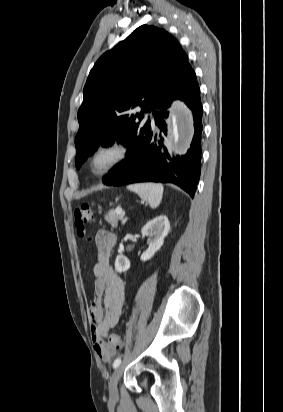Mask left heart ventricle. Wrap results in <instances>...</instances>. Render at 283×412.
<instances>
[{
  "label": "left heart ventricle",
  "instance_id": "b2bd125f",
  "mask_svg": "<svg viewBox=\"0 0 283 412\" xmlns=\"http://www.w3.org/2000/svg\"><path fill=\"white\" fill-rule=\"evenodd\" d=\"M112 156L111 155H101L97 158L95 165L96 167L100 168L105 166L110 160H111Z\"/></svg>",
  "mask_w": 283,
  "mask_h": 412
}]
</instances>
